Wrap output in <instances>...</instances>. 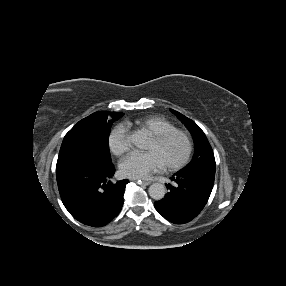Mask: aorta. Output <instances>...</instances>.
Returning a JSON list of instances; mask_svg holds the SVG:
<instances>
[{"label": "aorta", "mask_w": 286, "mask_h": 286, "mask_svg": "<svg viewBox=\"0 0 286 286\" xmlns=\"http://www.w3.org/2000/svg\"><path fill=\"white\" fill-rule=\"evenodd\" d=\"M149 195L154 200H161L166 194V187L161 183H153L148 189Z\"/></svg>", "instance_id": "obj_1"}]
</instances>
